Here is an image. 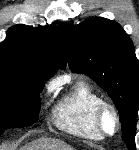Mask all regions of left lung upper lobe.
Returning <instances> with one entry per match:
<instances>
[{
  "label": "left lung upper lobe",
  "instance_id": "left-lung-upper-lobe-1",
  "mask_svg": "<svg viewBox=\"0 0 139 150\" xmlns=\"http://www.w3.org/2000/svg\"><path fill=\"white\" fill-rule=\"evenodd\" d=\"M70 69L103 88L119 110L122 139L135 145L139 110V63L129 36L116 22L97 17L59 27Z\"/></svg>",
  "mask_w": 139,
  "mask_h": 150
}]
</instances>
